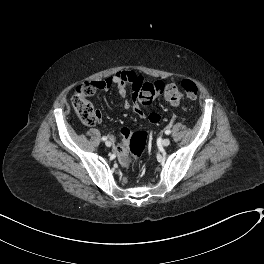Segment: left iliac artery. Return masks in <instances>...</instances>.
I'll use <instances>...</instances> for the list:
<instances>
[{"instance_id": "1", "label": "left iliac artery", "mask_w": 264, "mask_h": 264, "mask_svg": "<svg viewBox=\"0 0 264 264\" xmlns=\"http://www.w3.org/2000/svg\"><path fill=\"white\" fill-rule=\"evenodd\" d=\"M165 133H166L167 135H169V134L171 133V131L168 129V130L165 131Z\"/></svg>"}]
</instances>
